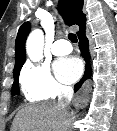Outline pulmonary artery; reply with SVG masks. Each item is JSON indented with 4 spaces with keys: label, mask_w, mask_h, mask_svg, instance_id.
<instances>
[{
    "label": "pulmonary artery",
    "mask_w": 117,
    "mask_h": 131,
    "mask_svg": "<svg viewBox=\"0 0 117 131\" xmlns=\"http://www.w3.org/2000/svg\"><path fill=\"white\" fill-rule=\"evenodd\" d=\"M51 51L56 56H62L69 54L72 51V46L67 40L59 39L52 44Z\"/></svg>",
    "instance_id": "pulmonary-artery-1"
}]
</instances>
